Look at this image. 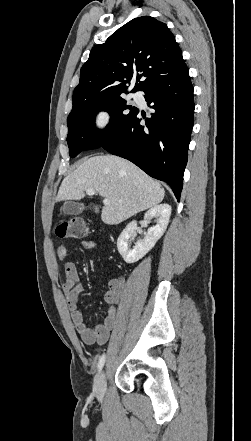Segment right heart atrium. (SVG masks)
<instances>
[{"label": "right heart atrium", "instance_id": "1", "mask_svg": "<svg viewBox=\"0 0 251 441\" xmlns=\"http://www.w3.org/2000/svg\"><path fill=\"white\" fill-rule=\"evenodd\" d=\"M110 119V113L105 109H101L94 115L93 126L98 130L105 129L108 126Z\"/></svg>", "mask_w": 251, "mask_h": 441}]
</instances>
